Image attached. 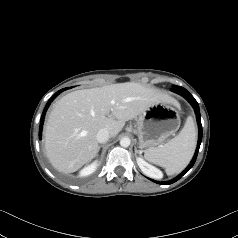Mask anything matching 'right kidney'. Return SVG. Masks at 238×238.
I'll use <instances>...</instances> for the list:
<instances>
[{
	"instance_id": "obj_1",
	"label": "right kidney",
	"mask_w": 238,
	"mask_h": 238,
	"mask_svg": "<svg viewBox=\"0 0 238 238\" xmlns=\"http://www.w3.org/2000/svg\"><path fill=\"white\" fill-rule=\"evenodd\" d=\"M97 166H98L97 162H93L92 164L88 165L83 170H81L80 175L81 176L90 175L96 170Z\"/></svg>"
}]
</instances>
